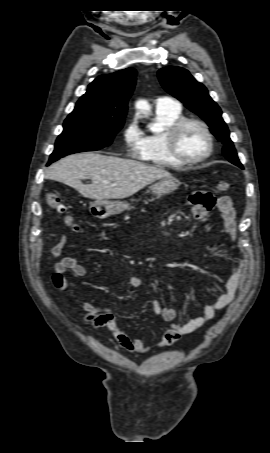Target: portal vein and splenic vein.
<instances>
[{
	"instance_id": "obj_1",
	"label": "portal vein and splenic vein",
	"mask_w": 270,
	"mask_h": 453,
	"mask_svg": "<svg viewBox=\"0 0 270 453\" xmlns=\"http://www.w3.org/2000/svg\"><path fill=\"white\" fill-rule=\"evenodd\" d=\"M103 183L107 184V183H109V181H103Z\"/></svg>"
}]
</instances>
